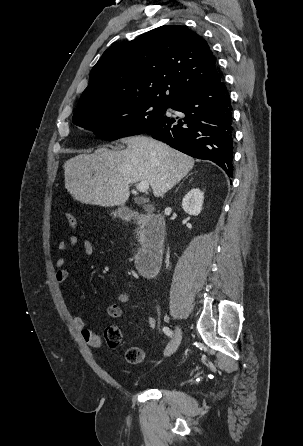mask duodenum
I'll return each mask as SVG.
<instances>
[{
  "label": "duodenum",
  "mask_w": 303,
  "mask_h": 446,
  "mask_svg": "<svg viewBox=\"0 0 303 446\" xmlns=\"http://www.w3.org/2000/svg\"><path fill=\"white\" fill-rule=\"evenodd\" d=\"M124 219L134 220L140 224L143 233L141 248L136 254V268L146 277L153 276L161 263L165 237V223L157 213L139 215L132 212H124Z\"/></svg>",
  "instance_id": "1"
}]
</instances>
